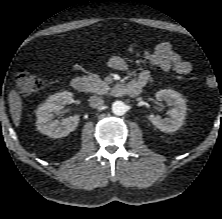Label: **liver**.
Segmentation results:
<instances>
[{"instance_id": "liver-1", "label": "liver", "mask_w": 222, "mask_h": 219, "mask_svg": "<svg viewBox=\"0 0 222 219\" xmlns=\"http://www.w3.org/2000/svg\"><path fill=\"white\" fill-rule=\"evenodd\" d=\"M9 107H10V113L12 116V120L16 127L20 124L21 119V113H22V100L19 94L12 90L9 93Z\"/></svg>"}]
</instances>
